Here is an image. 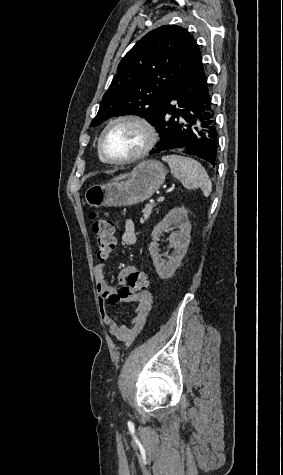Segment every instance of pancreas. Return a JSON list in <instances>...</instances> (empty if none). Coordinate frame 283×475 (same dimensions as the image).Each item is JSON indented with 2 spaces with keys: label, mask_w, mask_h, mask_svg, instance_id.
<instances>
[{
  "label": "pancreas",
  "mask_w": 283,
  "mask_h": 475,
  "mask_svg": "<svg viewBox=\"0 0 283 475\" xmlns=\"http://www.w3.org/2000/svg\"><path fill=\"white\" fill-rule=\"evenodd\" d=\"M155 204H146L144 210H142V218H140V222L141 224H143L144 220H148L153 208H154Z\"/></svg>",
  "instance_id": "cf45deb5"
}]
</instances>
